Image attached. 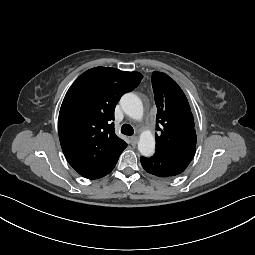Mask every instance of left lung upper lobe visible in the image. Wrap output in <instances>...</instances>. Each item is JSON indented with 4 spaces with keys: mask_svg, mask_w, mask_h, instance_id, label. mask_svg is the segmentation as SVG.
I'll use <instances>...</instances> for the list:
<instances>
[{
    "mask_svg": "<svg viewBox=\"0 0 255 255\" xmlns=\"http://www.w3.org/2000/svg\"><path fill=\"white\" fill-rule=\"evenodd\" d=\"M152 86L157 106L156 152L196 148V131L188 100L178 84L165 73L154 71Z\"/></svg>",
    "mask_w": 255,
    "mask_h": 255,
    "instance_id": "1",
    "label": "left lung upper lobe"
}]
</instances>
